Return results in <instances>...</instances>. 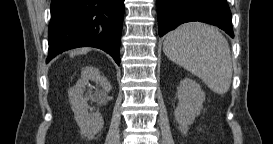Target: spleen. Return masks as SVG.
Returning a JSON list of instances; mask_svg holds the SVG:
<instances>
[{
  "mask_svg": "<svg viewBox=\"0 0 273 144\" xmlns=\"http://www.w3.org/2000/svg\"><path fill=\"white\" fill-rule=\"evenodd\" d=\"M163 51L213 92H228L232 78L230 48L215 27L199 22L183 24L166 35Z\"/></svg>",
  "mask_w": 273,
  "mask_h": 144,
  "instance_id": "obj_1",
  "label": "spleen"
}]
</instances>
